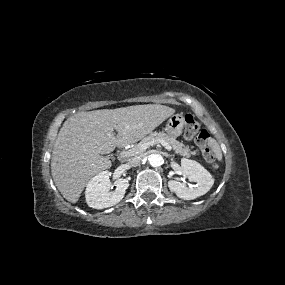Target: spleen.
I'll return each mask as SVG.
<instances>
[{"instance_id":"obj_1","label":"spleen","mask_w":285,"mask_h":285,"mask_svg":"<svg viewBox=\"0 0 285 285\" xmlns=\"http://www.w3.org/2000/svg\"><path fill=\"white\" fill-rule=\"evenodd\" d=\"M210 146L212 147V151H213L215 157L218 160H221L222 159V152H221V149H220L218 143L215 140H211Z\"/></svg>"}]
</instances>
